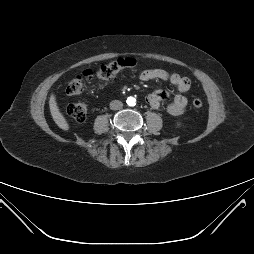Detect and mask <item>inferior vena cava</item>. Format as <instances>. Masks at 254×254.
<instances>
[{
  "instance_id": "inferior-vena-cava-1",
  "label": "inferior vena cava",
  "mask_w": 254,
  "mask_h": 254,
  "mask_svg": "<svg viewBox=\"0 0 254 254\" xmlns=\"http://www.w3.org/2000/svg\"><path fill=\"white\" fill-rule=\"evenodd\" d=\"M123 107V103L119 100H114L110 102V109L111 110H119Z\"/></svg>"
}]
</instances>
